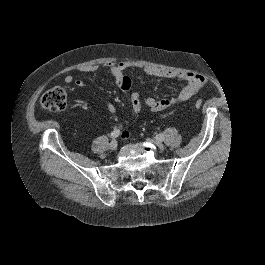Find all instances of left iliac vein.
Masks as SVG:
<instances>
[{
    "label": "left iliac vein",
    "instance_id": "4c4485c4",
    "mask_svg": "<svg viewBox=\"0 0 265 265\" xmlns=\"http://www.w3.org/2000/svg\"><path fill=\"white\" fill-rule=\"evenodd\" d=\"M152 144L158 146L160 149H163L164 148V145L160 143V141H155V140H152L150 141Z\"/></svg>",
    "mask_w": 265,
    "mask_h": 265
}]
</instances>
